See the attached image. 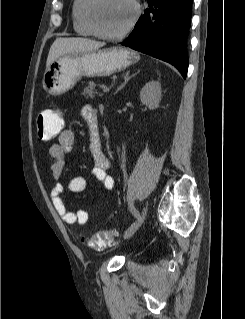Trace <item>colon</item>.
Masks as SVG:
<instances>
[{
    "label": "colon",
    "mask_w": 245,
    "mask_h": 319,
    "mask_svg": "<svg viewBox=\"0 0 245 319\" xmlns=\"http://www.w3.org/2000/svg\"><path fill=\"white\" fill-rule=\"evenodd\" d=\"M64 118L57 110H46L37 118V131L42 140L55 139L63 131ZM117 234L113 231H99L83 236V241L91 248L104 249L111 246Z\"/></svg>",
    "instance_id": "colon-1"
}]
</instances>
